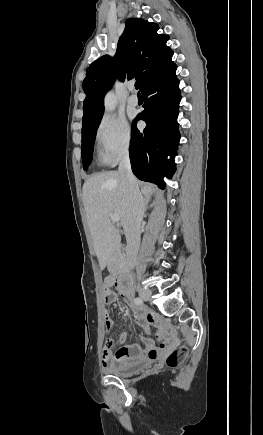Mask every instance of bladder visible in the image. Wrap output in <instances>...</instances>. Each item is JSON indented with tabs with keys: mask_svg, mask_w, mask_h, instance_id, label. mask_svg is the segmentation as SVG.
I'll return each mask as SVG.
<instances>
[{
	"mask_svg": "<svg viewBox=\"0 0 263 435\" xmlns=\"http://www.w3.org/2000/svg\"><path fill=\"white\" fill-rule=\"evenodd\" d=\"M149 363H150L149 360H140L133 363L117 364L107 368L106 371L111 375L123 378L139 372L144 367H146Z\"/></svg>",
	"mask_w": 263,
	"mask_h": 435,
	"instance_id": "31cf9c89",
	"label": "bladder"
}]
</instances>
